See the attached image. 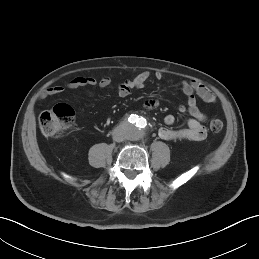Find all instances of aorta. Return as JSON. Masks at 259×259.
I'll list each match as a JSON object with an SVG mask.
<instances>
[{"mask_svg": "<svg viewBox=\"0 0 259 259\" xmlns=\"http://www.w3.org/2000/svg\"><path fill=\"white\" fill-rule=\"evenodd\" d=\"M143 126L140 127H136L132 124H130V132L129 135L132 139H140L143 137L144 135V128H142Z\"/></svg>", "mask_w": 259, "mask_h": 259, "instance_id": "aorta-1", "label": "aorta"}]
</instances>
